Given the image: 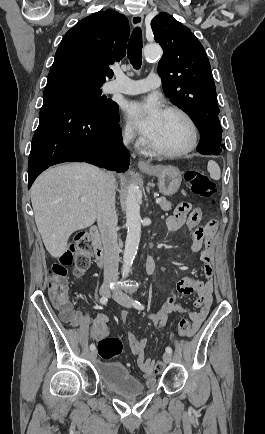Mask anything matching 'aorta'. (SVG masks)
Returning a JSON list of instances; mask_svg holds the SVG:
<instances>
[{
  "label": "aorta",
  "mask_w": 265,
  "mask_h": 434,
  "mask_svg": "<svg viewBox=\"0 0 265 434\" xmlns=\"http://www.w3.org/2000/svg\"><path fill=\"white\" fill-rule=\"evenodd\" d=\"M145 58H156L161 54L160 48L155 44L145 46L143 50ZM139 188L135 184H130L125 202L126 206V228L127 236L125 242V250L123 254L122 276L127 278L133 260L137 254L140 238H141V216L140 206L137 200V192Z\"/></svg>",
  "instance_id": "1"
}]
</instances>
